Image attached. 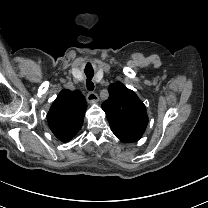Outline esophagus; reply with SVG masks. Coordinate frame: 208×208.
Listing matches in <instances>:
<instances>
[{"label":"esophagus","instance_id":"1","mask_svg":"<svg viewBox=\"0 0 208 208\" xmlns=\"http://www.w3.org/2000/svg\"><path fill=\"white\" fill-rule=\"evenodd\" d=\"M98 100H99V97H98V95H97L96 93H94V92H89V93L87 94V101H88L89 103H96V102H98Z\"/></svg>","mask_w":208,"mask_h":208}]
</instances>
